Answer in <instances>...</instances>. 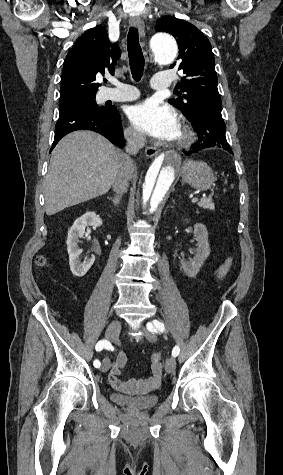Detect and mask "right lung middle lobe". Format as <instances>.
Returning a JSON list of instances; mask_svg holds the SVG:
<instances>
[{
    "mask_svg": "<svg viewBox=\"0 0 283 475\" xmlns=\"http://www.w3.org/2000/svg\"><path fill=\"white\" fill-rule=\"evenodd\" d=\"M96 93L80 90H61L59 99V108L69 107L71 105H86L97 111H104L106 108L98 107L95 101Z\"/></svg>",
    "mask_w": 283,
    "mask_h": 475,
    "instance_id": "obj_1",
    "label": "right lung middle lobe"
}]
</instances>
